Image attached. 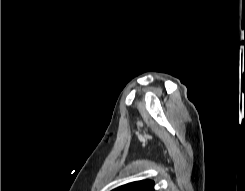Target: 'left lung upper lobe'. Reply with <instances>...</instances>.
<instances>
[{
  "mask_svg": "<svg viewBox=\"0 0 245 191\" xmlns=\"http://www.w3.org/2000/svg\"><path fill=\"white\" fill-rule=\"evenodd\" d=\"M112 191H155L154 181L152 180H140L134 181L122 186H119Z\"/></svg>",
  "mask_w": 245,
  "mask_h": 191,
  "instance_id": "5c2ea615",
  "label": "left lung upper lobe"
}]
</instances>
